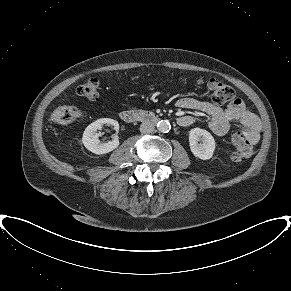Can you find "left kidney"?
Segmentation results:
<instances>
[{
    "mask_svg": "<svg viewBox=\"0 0 291 291\" xmlns=\"http://www.w3.org/2000/svg\"><path fill=\"white\" fill-rule=\"evenodd\" d=\"M189 146L192 154L202 160H209L216 147L213 136L201 128H193L189 131Z\"/></svg>",
    "mask_w": 291,
    "mask_h": 291,
    "instance_id": "left-kidney-1",
    "label": "left kidney"
}]
</instances>
